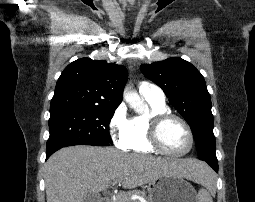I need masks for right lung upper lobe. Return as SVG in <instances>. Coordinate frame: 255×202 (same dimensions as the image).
Returning <instances> with one entry per match:
<instances>
[{"label":"right lung upper lobe","instance_id":"obj_1","mask_svg":"<svg viewBox=\"0 0 255 202\" xmlns=\"http://www.w3.org/2000/svg\"><path fill=\"white\" fill-rule=\"evenodd\" d=\"M128 72L122 65L103 60L78 59L69 64L57 81L50 114L84 108H117Z\"/></svg>","mask_w":255,"mask_h":202}]
</instances>
